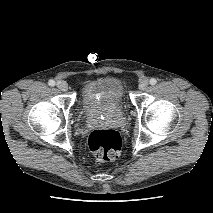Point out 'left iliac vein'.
<instances>
[{
  "instance_id": "obj_1",
  "label": "left iliac vein",
  "mask_w": 213,
  "mask_h": 213,
  "mask_svg": "<svg viewBox=\"0 0 213 213\" xmlns=\"http://www.w3.org/2000/svg\"><path fill=\"white\" fill-rule=\"evenodd\" d=\"M149 84V81L147 79H143L140 81L138 87L140 90H144Z\"/></svg>"
}]
</instances>
